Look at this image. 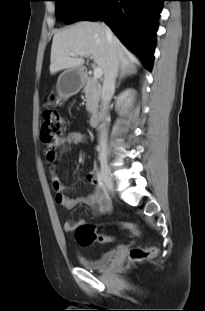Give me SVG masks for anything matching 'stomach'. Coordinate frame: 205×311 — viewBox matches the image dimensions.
<instances>
[{
  "mask_svg": "<svg viewBox=\"0 0 205 311\" xmlns=\"http://www.w3.org/2000/svg\"><path fill=\"white\" fill-rule=\"evenodd\" d=\"M81 69H67L60 74L56 85V96L59 100L67 99L77 94L83 85Z\"/></svg>",
  "mask_w": 205,
  "mask_h": 311,
  "instance_id": "0dacf381",
  "label": "stomach"
}]
</instances>
